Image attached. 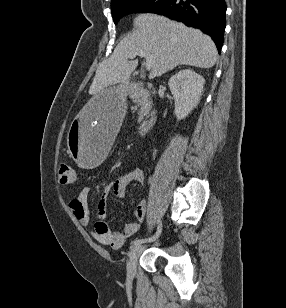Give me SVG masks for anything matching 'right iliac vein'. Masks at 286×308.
<instances>
[{"instance_id":"63e3f726","label":"right iliac vein","mask_w":286,"mask_h":308,"mask_svg":"<svg viewBox=\"0 0 286 308\" xmlns=\"http://www.w3.org/2000/svg\"><path fill=\"white\" fill-rule=\"evenodd\" d=\"M145 245L135 246L129 254V260L127 264V274L129 277H133L136 273L137 259L140 256L141 252L144 250Z\"/></svg>"}]
</instances>
